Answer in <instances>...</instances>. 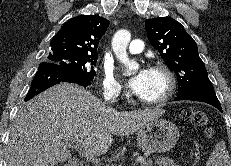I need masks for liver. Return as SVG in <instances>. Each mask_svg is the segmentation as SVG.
<instances>
[{"label":"liver","mask_w":231,"mask_h":166,"mask_svg":"<svg viewBox=\"0 0 231 166\" xmlns=\"http://www.w3.org/2000/svg\"><path fill=\"white\" fill-rule=\"evenodd\" d=\"M164 112L117 111L76 84L60 83L19 110L6 144L7 166H55L71 157L69 142L89 156L103 155L113 134L131 135Z\"/></svg>","instance_id":"1"}]
</instances>
